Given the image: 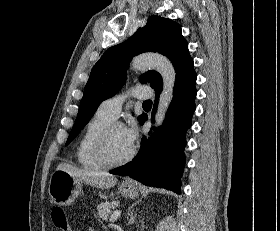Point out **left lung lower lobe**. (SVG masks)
<instances>
[{
    "instance_id": "0a47b994",
    "label": "left lung lower lobe",
    "mask_w": 280,
    "mask_h": 231,
    "mask_svg": "<svg viewBox=\"0 0 280 231\" xmlns=\"http://www.w3.org/2000/svg\"><path fill=\"white\" fill-rule=\"evenodd\" d=\"M196 79L194 66H190L175 81L173 99L163 125L149 140L143 137L137 156L126 165L111 170V174L128 175L144 185L180 193V178L185 165V133L191 126L195 111ZM160 92L161 88L156 90L155 101L158 100ZM156 107L157 103L152 111V121ZM146 120L144 114L139 116L141 124Z\"/></svg>"
}]
</instances>
